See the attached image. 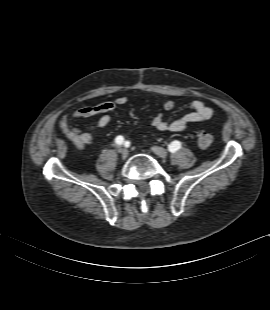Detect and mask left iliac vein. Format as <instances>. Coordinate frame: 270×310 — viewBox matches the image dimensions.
I'll return each mask as SVG.
<instances>
[{"instance_id":"1","label":"left iliac vein","mask_w":270,"mask_h":310,"mask_svg":"<svg viewBox=\"0 0 270 310\" xmlns=\"http://www.w3.org/2000/svg\"><path fill=\"white\" fill-rule=\"evenodd\" d=\"M153 152L158 155L159 157L161 158H166L167 157V151L162 148V147H159V146H154L152 148Z\"/></svg>"}]
</instances>
